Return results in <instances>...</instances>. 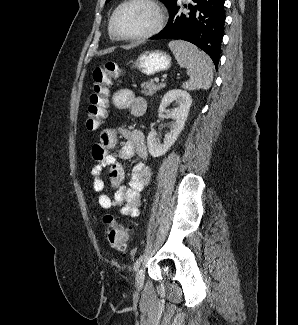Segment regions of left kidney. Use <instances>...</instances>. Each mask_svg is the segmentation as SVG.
<instances>
[{
    "label": "left kidney",
    "instance_id": "1",
    "mask_svg": "<svg viewBox=\"0 0 298 325\" xmlns=\"http://www.w3.org/2000/svg\"><path fill=\"white\" fill-rule=\"evenodd\" d=\"M174 102L175 108H166L171 102ZM192 104V98L187 90H181V88H172L167 90L163 98H161L158 106V114L164 116L162 112H166V116L174 118L173 126L170 128V132H166L164 142L161 144L159 138H157V132L150 130L147 136L148 150L152 156H162L170 146L174 144L179 136L182 128H184L185 120L189 114L190 106Z\"/></svg>",
    "mask_w": 298,
    "mask_h": 325
}]
</instances>
